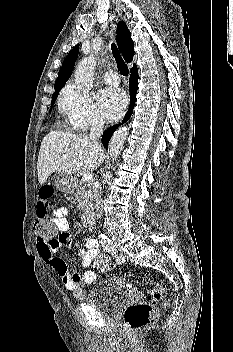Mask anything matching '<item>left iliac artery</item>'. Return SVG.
<instances>
[{
	"label": "left iliac artery",
	"mask_w": 233,
	"mask_h": 352,
	"mask_svg": "<svg viewBox=\"0 0 233 352\" xmlns=\"http://www.w3.org/2000/svg\"><path fill=\"white\" fill-rule=\"evenodd\" d=\"M110 253H111V254L113 255V257L115 258L116 263H118V264L124 263V259L122 258L121 255H118L117 250H116L115 247H111Z\"/></svg>",
	"instance_id": "left-iliac-artery-1"
}]
</instances>
